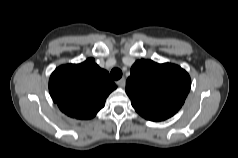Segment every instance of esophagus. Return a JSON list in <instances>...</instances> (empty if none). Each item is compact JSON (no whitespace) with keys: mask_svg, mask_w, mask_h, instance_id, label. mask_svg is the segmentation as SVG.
<instances>
[{"mask_svg":"<svg viewBox=\"0 0 238 158\" xmlns=\"http://www.w3.org/2000/svg\"><path fill=\"white\" fill-rule=\"evenodd\" d=\"M125 83H126V80L125 78H121L119 79L116 84L119 86V87H124L125 86Z\"/></svg>","mask_w":238,"mask_h":158,"instance_id":"obj_1","label":"esophagus"}]
</instances>
